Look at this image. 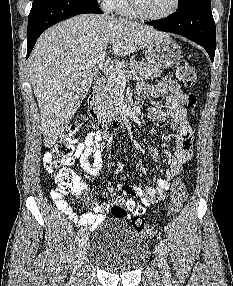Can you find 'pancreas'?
Wrapping results in <instances>:
<instances>
[{
  "label": "pancreas",
  "instance_id": "pancreas-1",
  "mask_svg": "<svg viewBox=\"0 0 233 286\" xmlns=\"http://www.w3.org/2000/svg\"><path fill=\"white\" fill-rule=\"evenodd\" d=\"M133 73L138 79H153L161 74V70L153 68L150 64L144 62L132 61ZM124 74L125 70L120 69ZM122 90V84L108 76V82L101 92L98 107L101 115L105 117L113 116L119 105V95Z\"/></svg>",
  "mask_w": 233,
  "mask_h": 286
}]
</instances>
